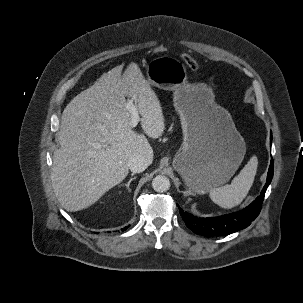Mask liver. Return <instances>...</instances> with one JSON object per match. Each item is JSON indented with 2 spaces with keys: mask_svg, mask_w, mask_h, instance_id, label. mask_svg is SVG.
<instances>
[{
  "mask_svg": "<svg viewBox=\"0 0 303 303\" xmlns=\"http://www.w3.org/2000/svg\"><path fill=\"white\" fill-rule=\"evenodd\" d=\"M105 73L63 111L52 168V186L62 207L79 211L95 203L128 174L129 159L153 160L143 134L130 127L126 97L135 100L144 133L156 139L165 130L162 107L140 68L131 62Z\"/></svg>",
  "mask_w": 303,
  "mask_h": 303,
  "instance_id": "6515ba94",
  "label": "liver"
}]
</instances>
